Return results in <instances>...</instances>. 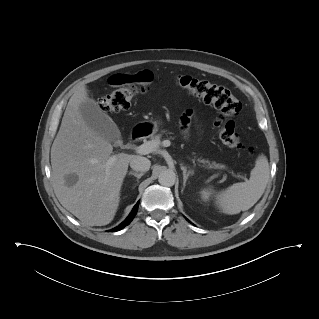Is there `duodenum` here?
<instances>
[{"mask_svg":"<svg viewBox=\"0 0 319 319\" xmlns=\"http://www.w3.org/2000/svg\"><path fill=\"white\" fill-rule=\"evenodd\" d=\"M147 134H148V127L145 125H142L134 129V131L131 133L130 139L132 141H136L141 139Z\"/></svg>","mask_w":319,"mask_h":319,"instance_id":"duodenum-1","label":"duodenum"}]
</instances>
